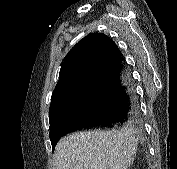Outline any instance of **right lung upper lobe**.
Wrapping results in <instances>:
<instances>
[{
  "label": "right lung upper lobe",
  "mask_w": 177,
  "mask_h": 169,
  "mask_svg": "<svg viewBox=\"0 0 177 169\" xmlns=\"http://www.w3.org/2000/svg\"><path fill=\"white\" fill-rule=\"evenodd\" d=\"M120 53L114 41L105 34L92 33L80 40L70 50L61 67L51 105L88 82Z\"/></svg>",
  "instance_id": "1"
}]
</instances>
